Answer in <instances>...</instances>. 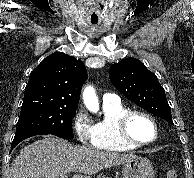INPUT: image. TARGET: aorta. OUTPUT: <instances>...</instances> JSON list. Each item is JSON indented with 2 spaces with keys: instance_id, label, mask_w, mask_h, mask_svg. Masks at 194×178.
<instances>
[{
  "instance_id": "aorta-1",
  "label": "aorta",
  "mask_w": 194,
  "mask_h": 178,
  "mask_svg": "<svg viewBox=\"0 0 194 178\" xmlns=\"http://www.w3.org/2000/svg\"><path fill=\"white\" fill-rule=\"evenodd\" d=\"M83 101H84L85 106L91 112L96 113L99 110L98 98L92 86L85 87L83 91Z\"/></svg>"
}]
</instances>
